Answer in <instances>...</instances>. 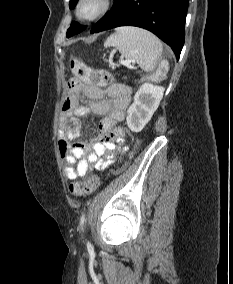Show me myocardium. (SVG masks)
<instances>
[{"label": "myocardium", "mask_w": 233, "mask_h": 284, "mask_svg": "<svg viewBox=\"0 0 233 284\" xmlns=\"http://www.w3.org/2000/svg\"><path fill=\"white\" fill-rule=\"evenodd\" d=\"M91 1L96 4V9L91 14L83 13V6ZM110 6L111 0H78L75 6V15L80 21L92 22L103 16Z\"/></svg>", "instance_id": "f54148a6"}]
</instances>
